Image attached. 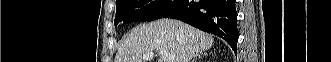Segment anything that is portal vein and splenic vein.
Returning a JSON list of instances; mask_svg holds the SVG:
<instances>
[{"label": "portal vein and splenic vein", "mask_w": 331, "mask_h": 62, "mask_svg": "<svg viewBox=\"0 0 331 62\" xmlns=\"http://www.w3.org/2000/svg\"><path fill=\"white\" fill-rule=\"evenodd\" d=\"M157 51L161 54V56L163 58V62H175V56L168 53L166 50H157ZM153 55H154L153 52H148L143 55L142 59L148 60V59L152 58Z\"/></svg>", "instance_id": "1"}]
</instances>
